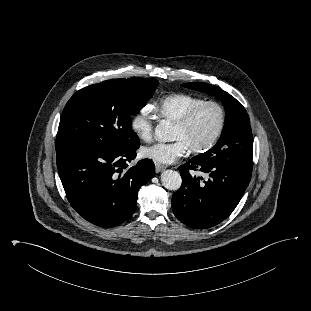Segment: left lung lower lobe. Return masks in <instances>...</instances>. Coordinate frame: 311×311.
Listing matches in <instances>:
<instances>
[{
  "instance_id": "obj_1",
  "label": "left lung lower lobe",
  "mask_w": 311,
  "mask_h": 311,
  "mask_svg": "<svg viewBox=\"0 0 311 311\" xmlns=\"http://www.w3.org/2000/svg\"><path fill=\"white\" fill-rule=\"evenodd\" d=\"M252 160L228 158L220 160L192 158L179 167L180 189L173 194V213L185 225L195 229L213 227L226 219L242 198L252 174ZM207 173L209 179L191 175V171Z\"/></svg>"
}]
</instances>
